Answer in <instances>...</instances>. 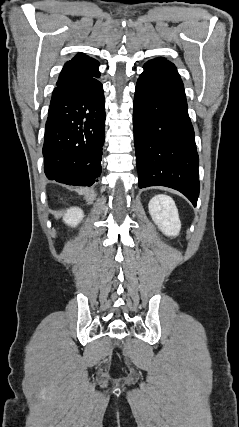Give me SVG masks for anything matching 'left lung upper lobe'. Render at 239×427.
I'll use <instances>...</instances> for the list:
<instances>
[{
	"label": "left lung upper lobe",
	"instance_id": "obj_1",
	"mask_svg": "<svg viewBox=\"0 0 239 427\" xmlns=\"http://www.w3.org/2000/svg\"><path fill=\"white\" fill-rule=\"evenodd\" d=\"M151 61H155V62L161 63V64H163V65H166V66H169V67L176 68L174 64H172L171 62L167 61V60H166V59H164V58H157V59H153V60H151Z\"/></svg>",
	"mask_w": 239,
	"mask_h": 427
}]
</instances>
